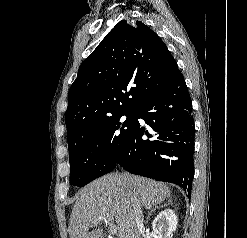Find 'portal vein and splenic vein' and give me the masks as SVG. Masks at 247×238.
Instances as JSON below:
<instances>
[{"label":"portal vein and splenic vein","mask_w":247,"mask_h":238,"mask_svg":"<svg viewBox=\"0 0 247 238\" xmlns=\"http://www.w3.org/2000/svg\"><path fill=\"white\" fill-rule=\"evenodd\" d=\"M102 221H105L109 225V232L114 235L117 233V227L113 224L112 219H103Z\"/></svg>","instance_id":"obj_1"}]
</instances>
